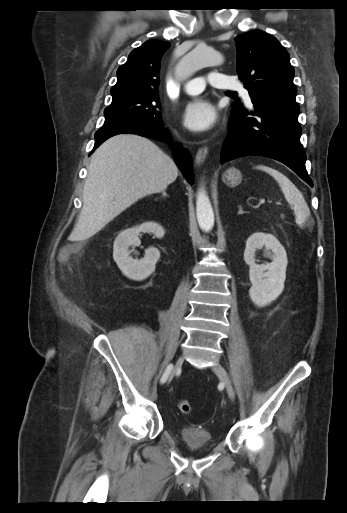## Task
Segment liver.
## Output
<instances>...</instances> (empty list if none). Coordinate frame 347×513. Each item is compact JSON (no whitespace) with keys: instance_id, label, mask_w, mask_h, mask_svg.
I'll list each match as a JSON object with an SVG mask.
<instances>
[{"instance_id":"6515ba94","label":"liver","mask_w":347,"mask_h":513,"mask_svg":"<svg viewBox=\"0 0 347 513\" xmlns=\"http://www.w3.org/2000/svg\"><path fill=\"white\" fill-rule=\"evenodd\" d=\"M178 169L154 142L118 134L93 153L83 189V207L74 240H86L139 199L164 191Z\"/></svg>"}]
</instances>
